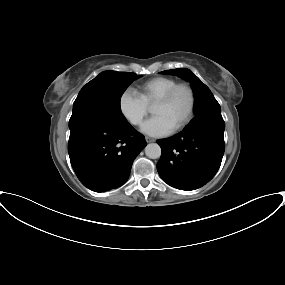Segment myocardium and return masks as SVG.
I'll return each mask as SVG.
<instances>
[{
    "label": "myocardium",
    "mask_w": 285,
    "mask_h": 285,
    "mask_svg": "<svg viewBox=\"0 0 285 285\" xmlns=\"http://www.w3.org/2000/svg\"><path fill=\"white\" fill-rule=\"evenodd\" d=\"M186 90L190 97V106L187 115L183 119L181 123H179L175 128H173L174 133L181 131L184 129L193 119L195 110H196V104H197V98L196 93L193 89V87L188 83H177L172 88H170L155 104L154 106H162L167 105L171 102L173 97L176 95V93L179 90Z\"/></svg>",
    "instance_id": "obj_1"
}]
</instances>
